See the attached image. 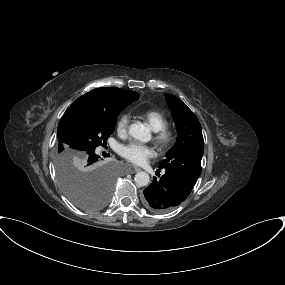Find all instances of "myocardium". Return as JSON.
Returning a JSON list of instances; mask_svg holds the SVG:
<instances>
[{"label":"myocardium","instance_id":"myocardium-1","mask_svg":"<svg viewBox=\"0 0 285 285\" xmlns=\"http://www.w3.org/2000/svg\"><path fill=\"white\" fill-rule=\"evenodd\" d=\"M155 140L161 148L167 149L172 145L174 136L170 130L164 128L156 131Z\"/></svg>","mask_w":285,"mask_h":285}]
</instances>
